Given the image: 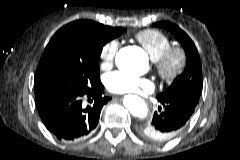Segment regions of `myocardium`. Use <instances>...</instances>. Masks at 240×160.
Masks as SVG:
<instances>
[{
  "label": "myocardium",
  "mask_w": 240,
  "mask_h": 160,
  "mask_svg": "<svg viewBox=\"0 0 240 160\" xmlns=\"http://www.w3.org/2000/svg\"><path fill=\"white\" fill-rule=\"evenodd\" d=\"M187 65V56L184 50L177 46L167 48L155 60V68L159 78L166 84L176 82L183 74Z\"/></svg>",
  "instance_id": "1"
}]
</instances>
